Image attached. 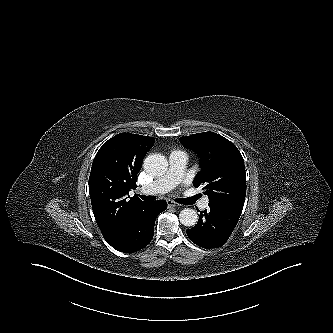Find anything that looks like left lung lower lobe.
I'll list each match as a JSON object with an SVG mask.
<instances>
[{"label": "left lung lower lobe", "instance_id": "left-lung-lower-lobe-1", "mask_svg": "<svg viewBox=\"0 0 333 333\" xmlns=\"http://www.w3.org/2000/svg\"><path fill=\"white\" fill-rule=\"evenodd\" d=\"M240 216L209 203V209L200 212L198 223L187 230L192 242L202 248L222 246L233 232Z\"/></svg>", "mask_w": 333, "mask_h": 333}]
</instances>
